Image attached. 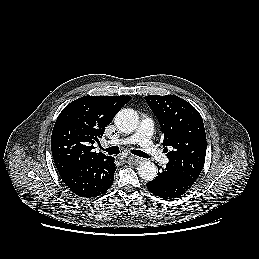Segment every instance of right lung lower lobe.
I'll return each instance as SVG.
<instances>
[{
    "label": "right lung lower lobe",
    "mask_w": 259,
    "mask_h": 259,
    "mask_svg": "<svg viewBox=\"0 0 259 259\" xmlns=\"http://www.w3.org/2000/svg\"><path fill=\"white\" fill-rule=\"evenodd\" d=\"M113 157L80 164L59 173L66 186L80 197H96L105 193L112 185L116 165Z\"/></svg>",
    "instance_id": "98d812e1"
}]
</instances>
